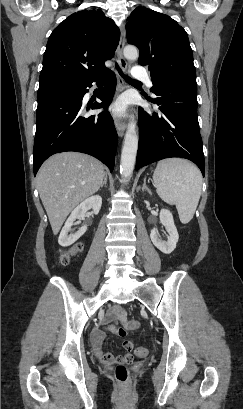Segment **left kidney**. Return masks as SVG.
I'll return each mask as SVG.
<instances>
[{
    "label": "left kidney",
    "instance_id": "1",
    "mask_svg": "<svg viewBox=\"0 0 243 409\" xmlns=\"http://www.w3.org/2000/svg\"><path fill=\"white\" fill-rule=\"evenodd\" d=\"M160 221L165 227L168 236L167 240H162L154 228L151 230L150 238L155 247H157L164 254H170L175 248L179 239V234L177 232L176 226L174 224L173 215L168 209H162L160 211Z\"/></svg>",
    "mask_w": 243,
    "mask_h": 409
}]
</instances>
